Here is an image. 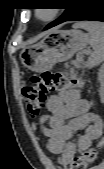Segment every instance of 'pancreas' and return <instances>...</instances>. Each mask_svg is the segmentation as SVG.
<instances>
[{
	"label": "pancreas",
	"mask_w": 104,
	"mask_h": 169,
	"mask_svg": "<svg viewBox=\"0 0 104 169\" xmlns=\"http://www.w3.org/2000/svg\"><path fill=\"white\" fill-rule=\"evenodd\" d=\"M75 66L78 68L80 66L79 62H76Z\"/></svg>",
	"instance_id": "1"
}]
</instances>
